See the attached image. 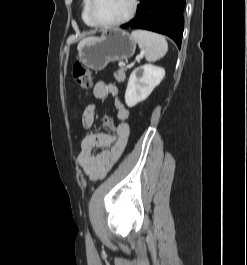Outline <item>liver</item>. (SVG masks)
Wrapping results in <instances>:
<instances>
[{
	"label": "liver",
	"mask_w": 247,
	"mask_h": 265,
	"mask_svg": "<svg viewBox=\"0 0 247 265\" xmlns=\"http://www.w3.org/2000/svg\"><path fill=\"white\" fill-rule=\"evenodd\" d=\"M87 38H85V39H83L80 43H79V45L83 42V41H85ZM79 45H78V47H79Z\"/></svg>",
	"instance_id": "6515ba94"
}]
</instances>
